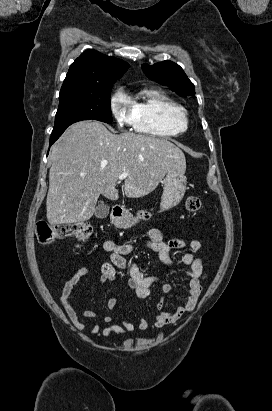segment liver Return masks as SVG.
<instances>
[{
	"instance_id": "obj_1",
	"label": "liver",
	"mask_w": 272,
	"mask_h": 411,
	"mask_svg": "<svg viewBox=\"0 0 272 411\" xmlns=\"http://www.w3.org/2000/svg\"><path fill=\"white\" fill-rule=\"evenodd\" d=\"M47 220L51 225L89 220L99 196L118 199V176L128 173L125 195L153 192L166 173H185L184 153L168 140L125 132L112 134L97 121L72 124L51 148Z\"/></svg>"
}]
</instances>
